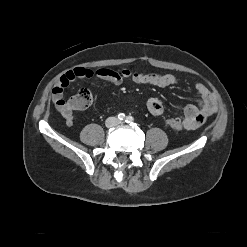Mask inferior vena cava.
Here are the masks:
<instances>
[{
    "label": "inferior vena cava",
    "mask_w": 247,
    "mask_h": 247,
    "mask_svg": "<svg viewBox=\"0 0 247 247\" xmlns=\"http://www.w3.org/2000/svg\"><path fill=\"white\" fill-rule=\"evenodd\" d=\"M109 120L113 121L112 125H116L118 123V120L115 117H110V118H108L107 121H109Z\"/></svg>",
    "instance_id": "inferior-vena-cava-1"
}]
</instances>
